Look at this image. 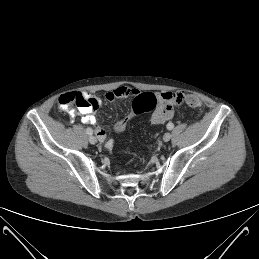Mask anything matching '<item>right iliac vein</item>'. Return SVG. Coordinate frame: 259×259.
<instances>
[{
    "label": "right iliac vein",
    "mask_w": 259,
    "mask_h": 259,
    "mask_svg": "<svg viewBox=\"0 0 259 259\" xmlns=\"http://www.w3.org/2000/svg\"><path fill=\"white\" fill-rule=\"evenodd\" d=\"M88 140H89V142H90L91 144H96V143H97V139H96V137L93 136V135H90L89 138H88Z\"/></svg>",
    "instance_id": "obj_1"
}]
</instances>
